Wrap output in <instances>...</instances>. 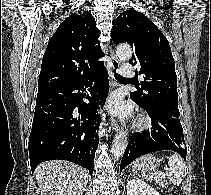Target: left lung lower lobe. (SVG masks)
<instances>
[{"mask_svg": "<svg viewBox=\"0 0 211 195\" xmlns=\"http://www.w3.org/2000/svg\"><path fill=\"white\" fill-rule=\"evenodd\" d=\"M152 119L153 128L133 133L124 152L120 172L137 157L161 150H172L186 160L187 148L179 116L159 108L143 107Z\"/></svg>", "mask_w": 211, "mask_h": 195, "instance_id": "1", "label": "left lung lower lobe"}]
</instances>
